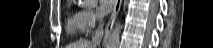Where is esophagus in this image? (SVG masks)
<instances>
[{"label":"esophagus","mask_w":213,"mask_h":48,"mask_svg":"<svg viewBox=\"0 0 213 48\" xmlns=\"http://www.w3.org/2000/svg\"><path fill=\"white\" fill-rule=\"evenodd\" d=\"M121 4H122V0H116L115 1V5H114V8H113L111 17H110L109 22H108L106 29H105L104 42L108 39V37L110 35V32H111L112 27L114 25L115 19H116L117 15L120 11Z\"/></svg>","instance_id":"34e87169"}]
</instances>
